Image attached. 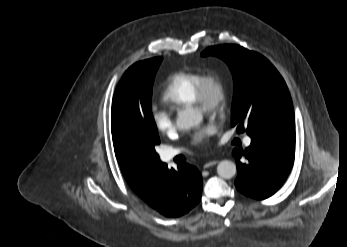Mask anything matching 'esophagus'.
Instances as JSON below:
<instances>
[{"label": "esophagus", "mask_w": 347, "mask_h": 247, "mask_svg": "<svg viewBox=\"0 0 347 247\" xmlns=\"http://www.w3.org/2000/svg\"><path fill=\"white\" fill-rule=\"evenodd\" d=\"M218 163V160H209L204 164V168L207 169L211 166H214Z\"/></svg>", "instance_id": "34e87169"}]
</instances>
